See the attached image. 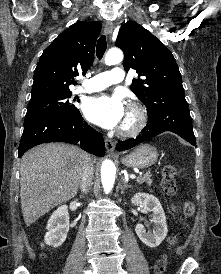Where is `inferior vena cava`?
I'll use <instances>...</instances> for the list:
<instances>
[{
    "instance_id": "inferior-vena-cava-1",
    "label": "inferior vena cava",
    "mask_w": 221,
    "mask_h": 274,
    "mask_svg": "<svg viewBox=\"0 0 221 274\" xmlns=\"http://www.w3.org/2000/svg\"><path fill=\"white\" fill-rule=\"evenodd\" d=\"M94 175V167L91 158L85 161L83 165V172L80 181L81 192L87 193L90 189L92 178Z\"/></svg>"
}]
</instances>
